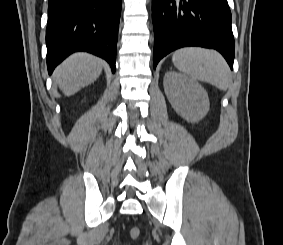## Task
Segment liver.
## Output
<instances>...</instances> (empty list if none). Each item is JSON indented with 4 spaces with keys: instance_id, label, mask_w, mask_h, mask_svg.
<instances>
[{
    "instance_id": "1",
    "label": "liver",
    "mask_w": 283,
    "mask_h": 245,
    "mask_svg": "<svg viewBox=\"0 0 283 245\" xmlns=\"http://www.w3.org/2000/svg\"><path fill=\"white\" fill-rule=\"evenodd\" d=\"M104 62L87 53H76L54 71L53 78L60 90L71 96L93 83L101 74Z\"/></svg>"
}]
</instances>
